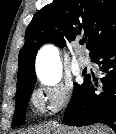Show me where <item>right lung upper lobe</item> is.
<instances>
[{
  "mask_svg": "<svg viewBox=\"0 0 116 134\" xmlns=\"http://www.w3.org/2000/svg\"><path fill=\"white\" fill-rule=\"evenodd\" d=\"M84 35L90 54L116 38L115 0H53L39 10L25 32L18 57L16 95L36 82L35 57L46 43L65 47ZM89 54V55H90Z\"/></svg>",
  "mask_w": 116,
  "mask_h": 134,
  "instance_id": "1",
  "label": "right lung upper lobe"
}]
</instances>
